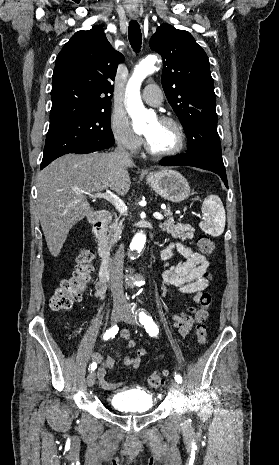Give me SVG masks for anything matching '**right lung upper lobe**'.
I'll return each mask as SVG.
<instances>
[{"instance_id": "obj_1", "label": "right lung upper lobe", "mask_w": 279, "mask_h": 465, "mask_svg": "<svg viewBox=\"0 0 279 465\" xmlns=\"http://www.w3.org/2000/svg\"><path fill=\"white\" fill-rule=\"evenodd\" d=\"M123 60L102 27L76 32L56 58L50 124L110 107L112 82Z\"/></svg>"}]
</instances>
